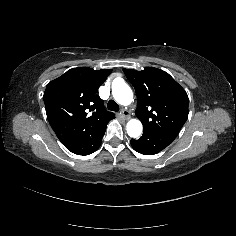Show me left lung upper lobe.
<instances>
[{"mask_svg":"<svg viewBox=\"0 0 236 236\" xmlns=\"http://www.w3.org/2000/svg\"><path fill=\"white\" fill-rule=\"evenodd\" d=\"M123 71L135 88L138 100L135 114L143 131L176 137L188 118V95L182 86L158 68Z\"/></svg>","mask_w":236,"mask_h":236,"instance_id":"5c2ea615","label":"left lung upper lobe"}]
</instances>
